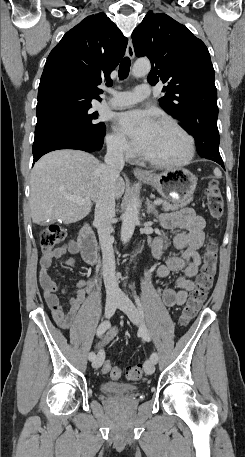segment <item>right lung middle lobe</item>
I'll return each mask as SVG.
<instances>
[{
  "instance_id": "dd1d6c3e",
  "label": "right lung middle lobe",
  "mask_w": 245,
  "mask_h": 457,
  "mask_svg": "<svg viewBox=\"0 0 245 457\" xmlns=\"http://www.w3.org/2000/svg\"><path fill=\"white\" fill-rule=\"evenodd\" d=\"M90 101H63L54 108L37 112L35 135L53 129H68L83 133L96 143H103L105 125L95 121Z\"/></svg>"
}]
</instances>
